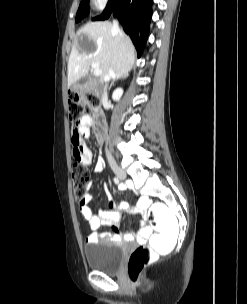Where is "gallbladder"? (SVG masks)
Segmentation results:
<instances>
[{
  "label": "gallbladder",
  "instance_id": "obj_1",
  "mask_svg": "<svg viewBox=\"0 0 247 304\" xmlns=\"http://www.w3.org/2000/svg\"><path fill=\"white\" fill-rule=\"evenodd\" d=\"M88 81L87 77H81L74 85V89L80 90L83 89L86 86V83Z\"/></svg>",
  "mask_w": 247,
  "mask_h": 304
}]
</instances>
